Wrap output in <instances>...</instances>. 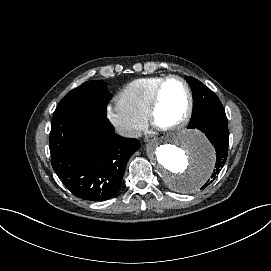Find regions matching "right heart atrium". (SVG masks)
Masks as SVG:
<instances>
[{"label":"right heart atrium","mask_w":271,"mask_h":271,"mask_svg":"<svg viewBox=\"0 0 271 271\" xmlns=\"http://www.w3.org/2000/svg\"><path fill=\"white\" fill-rule=\"evenodd\" d=\"M106 115L111 124L130 139L137 138L147 126L146 119L133 113L120 97L113 98L107 104Z\"/></svg>","instance_id":"1"}]
</instances>
